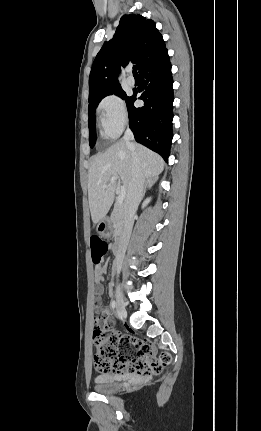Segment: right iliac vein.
I'll return each instance as SVG.
<instances>
[{
    "label": "right iliac vein",
    "mask_w": 261,
    "mask_h": 431,
    "mask_svg": "<svg viewBox=\"0 0 261 431\" xmlns=\"http://www.w3.org/2000/svg\"><path fill=\"white\" fill-rule=\"evenodd\" d=\"M116 314L118 317L126 316L124 299L119 286H117V289H116Z\"/></svg>",
    "instance_id": "obj_1"
}]
</instances>
